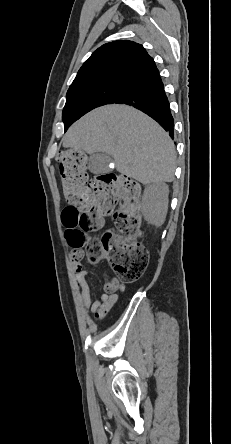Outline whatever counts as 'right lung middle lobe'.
I'll use <instances>...</instances> for the list:
<instances>
[{
  "label": "right lung middle lobe",
  "instance_id": "right-lung-middle-lobe-1",
  "mask_svg": "<svg viewBox=\"0 0 231 444\" xmlns=\"http://www.w3.org/2000/svg\"><path fill=\"white\" fill-rule=\"evenodd\" d=\"M129 90H131L130 87L116 83H105L82 89L68 90L62 114L65 131L74 121L90 110L105 104L114 103Z\"/></svg>",
  "mask_w": 231,
  "mask_h": 444
}]
</instances>
